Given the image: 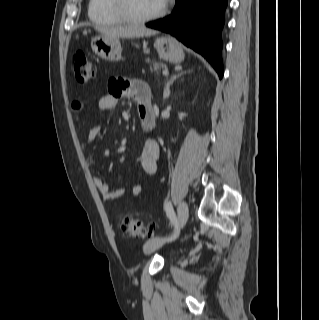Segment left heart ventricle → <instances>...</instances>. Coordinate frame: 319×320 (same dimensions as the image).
Segmentation results:
<instances>
[{
  "mask_svg": "<svg viewBox=\"0 0 319 320\" xmlns=\"http://www.w3.org/2000/svg\"><path fill=\"white\" fill-rule=\"evenodd\" d=\"M130 11L136 16H148L158 11L162 4L160 0H128Z\"/></svg>",
  "mask_w": 319,
  "mask_h": 320,
  "instance_id": "obj_1",
  "label": "left heart ventricle"
}]
</instances>
